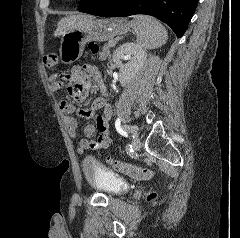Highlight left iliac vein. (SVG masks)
I'll return each mask as SVG.
<instances>
[{
  "label": "left iliac vein",
  "instance_id": "1",
  "mask_svg": "<svg viewBox=\"0 0 240 238\" xmlns=\"http://www.w3.org/2000/svg\"><path fill=\"white\" fill-rule=\"evenodd\" d=\"M132 146H133V149L135 151H138L142 146L141 140H140L139 135L137 133H135V136L133 138Z\"/></svg>",
  "mask_w": 240,
  "mask_h": 238
}]
</instances>
